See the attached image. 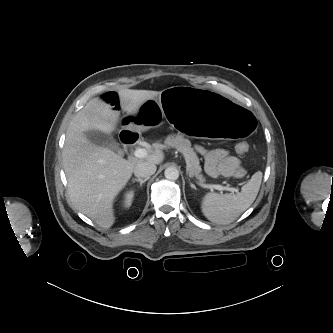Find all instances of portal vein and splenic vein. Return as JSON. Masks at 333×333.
I'll return each mask as SVG.
<instances>
[{"label": "portal vein and splenic vein", "mask_w": 333, "mask_h": 333, "mask_svg": "<svg viewBox=\"0 0 333 333\" xmlns=\"http://www.w3.org/2000/svg\"><path fill=\"white\" fill-rule=\"evenodd\" d=\"M147 151L145 149H142V148H139V149H136L134 151V156L137 157V158H144L147 156ZM202 187L204 188H210V189H216V190H219V191H230L232 193H238V189L237 188H232V187H229V186H222V185H216V184H204L202 183L201 184Z\"/></svg>", "instance_id": "1"}]
</instances>
